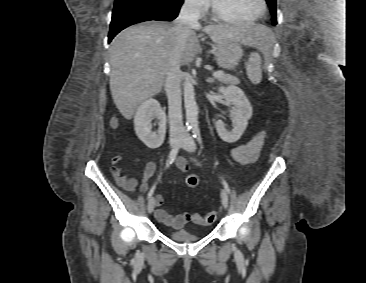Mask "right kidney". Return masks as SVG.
<instances>
[{
	"mask_svg": "<svg viewBox=\"0 0 366 283\" xmlns=\"http://www.w3.org/2000/svg\"><path fill=\"white\" fill-rule=\"evenodd\" d=\"M157 119L158 130L152 132V120ZM166 114L155 99L144 100L134 117L135 132L138 138L150 149L160 147L165 140Z\"/></svg>",
	"mask_w": 366,
	"mask_h": 283,
	"instance_id": "ca27d5eb",
	"label": "right kidney"
}]
</instances>
